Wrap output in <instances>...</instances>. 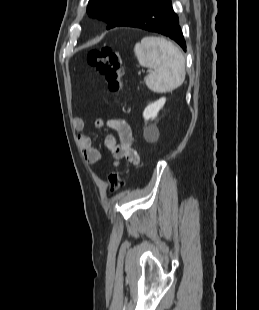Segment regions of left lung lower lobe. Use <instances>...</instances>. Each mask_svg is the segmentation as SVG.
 I'll return each mask as SVG.
<instances>
[{"label":"left lung lower lobe","instance_id":"left-lung-lower-lobe-1","mask_svg":"<svg viewBox=\"0 0 259 310\" xmlns=\"http://www.w3.org/2000/svg\"><path fill=\"white\" fill-rule=\"evenodd\" d=\"M116 26L137 27L160 33L173 39L184 51L186 50L178 16L173 11L171 0H149L128 11Z\"/></svg>","mask_w":259,"mask_h":310}]
</instances>
